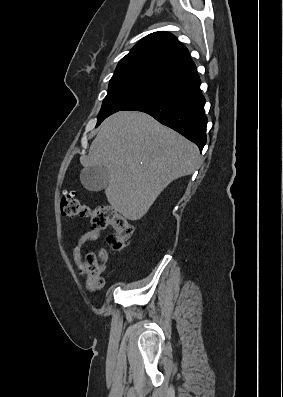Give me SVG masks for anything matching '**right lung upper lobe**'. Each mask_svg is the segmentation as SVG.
<instances>
[{"mask_svg": "<svg viewBox=\"0 0 283 397\" xmlns=\"http://www.w3.org/2000/svg\"><path fill=\"white\" fill-rule=\"evenodd\" d=\"M143 72L167 83L197 72L187 48L164 31L141 39L118 63L115 73Z\"/></svg>", "mask_w": 283, "mask_h": 397, "instance_id": "right-lung-upper-lobe-1", "label": "right lung upper lobe"}]
</instances>
